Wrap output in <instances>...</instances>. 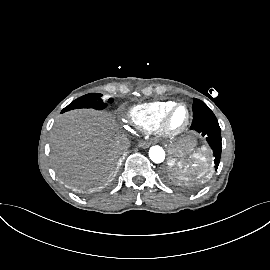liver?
Listing matches in <instances>:
<instances>
[{"mask_svg":"<svg viewBox=\"0 0 270 270\" xmlns=\"http://www.w3.org/2000/svg\"><path fill=\"white\" fill-rule=\"evenodd\" d=\"M116 123L109 113L88 109L66 112L56 120L51 136L52 159L62 172L103 185L114 173Z\"/></svg>","mask_w":270,"mask_h":270,"instance_id":"obj_1","label":"liver"}]
</instances>
